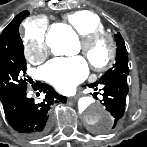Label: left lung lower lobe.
<instances>
[{"mask_svg":"<svg viewBox=\"0 0 147 147\" xmlns=\"http://www.w3.org/2000/svg\"><path fill=\"white\" fill-rule=\"evenodd\" d=\"M102 85L104 93L103 105L110 112L113 117L112 123L107 128H99V131H109L114 129L120 119L123 117L125 110L126 96L128 93L127 75L122 74L113 78H109L99 82V84H91L89 87L95 88Z\"/></svg>","mask_w":147,"mask_h":147,"instance_id":"obj_1","label":"left lung lower lobe"}]
</instances>
